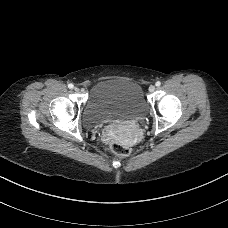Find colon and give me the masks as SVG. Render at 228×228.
<instances>
[{"label": "colon", "instance_id": "colon-1", "mask_svg": "<svg viewBox=\"0 0 228 228\" xmlns=\"http://www.w3.org/2000/svg\"><path fill=\"white\" fill-rule=\"evenodd\" d=\"M109 147L115 155L120 157L129 156L131 153L129 147L121 140L115 137H111L109 139Z\"/></svg>", "mask_w": 228, "mask_h": 228}]
</instances>
